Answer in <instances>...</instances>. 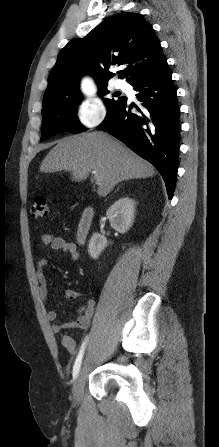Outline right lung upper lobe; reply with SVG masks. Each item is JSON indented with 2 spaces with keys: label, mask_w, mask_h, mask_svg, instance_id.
<instances>
[{
  "label": "right lung upper lobe",
  "mask_w": 219,
  "mask_h": 447,
  "mask_svg": "<svg viewBox=\"0 0 219 447\" xmlns=\"http://www.w3.org/2000/svg\"><path fill=\"white\" fill-rule=\"evenodd\" d=\"M167 62L152 26L141 14L122 12L95 27L84 38L71 40L58 54L44 97L78 95L79 80L91 74L107 85L110 66L128 64L122 74L133 85L155 74Z\"/></svg>",
  "instance_id": "obj_1"
}]
</instances>
